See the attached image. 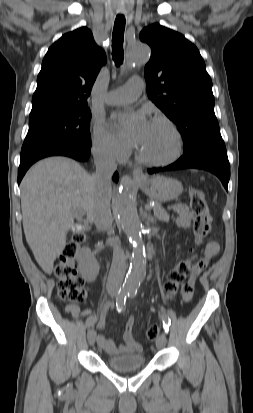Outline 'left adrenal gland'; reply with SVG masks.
<instances>
[{
  "label": "left adrenal gland",
  "mask_w": 253,
  "mask_h": 413,
  "mask_svg": "<svg viewBox=\"0 0 253 413\" xmlns=\"http://www.w3.org/2000/svg\"><path fill=\"white\" fill-rule=\"evenodd\" d=\"M143 218L146 219L148 222L154 224L155 220L153 217H151L150 215H148L146 212L143 214Z\"/></svg>",
  "instance_id": "1"
}]
</instances>
